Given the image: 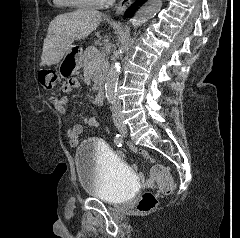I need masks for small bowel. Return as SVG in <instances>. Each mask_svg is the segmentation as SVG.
<instances>
[{
	"label": "small bowel",
	"instance_id": "1",
	"mask_svg": "<svg viewBox=\"0 0 240 238\" xmlns=\"http://www.w3.org/2000/svg\"><path fill=\"white\" fill-rule=\"evenodd\" d=\"M79 87V82L77 79H71L68 84H64L61 88L62 92L64 93H69L73 89H76ZM50 102L52 105L56 108L58 112L61 114H66L67 112V107H68V98L66 96H58L56 94H52L50 96ZM86 124L90 126H97L98 123L94 117H87L85 119ZM83 133V126L80 124H75L71 128L67 130V137L69 139L70 145L72 147H76L80 143V136ZM126 147L129 148L130 151H134L135 153L139 154L141 157H143L149 164H154V159L148 154L147 151L138 149L139 148V143H132V146L130 143L126 144ZM115 149V148H114ZM117 154H124L125 150L124 149H117L116 150ZM132 169L136 168L135 164L131 165ZM139 175H144L145 171L144 170H139L138 171ZM141 183L144 184V187H155V182H152L151 176L149 179H142Z\"/></svg>",
	"mask_w": 240,
	"mask_h": 238
}]
</instances>
